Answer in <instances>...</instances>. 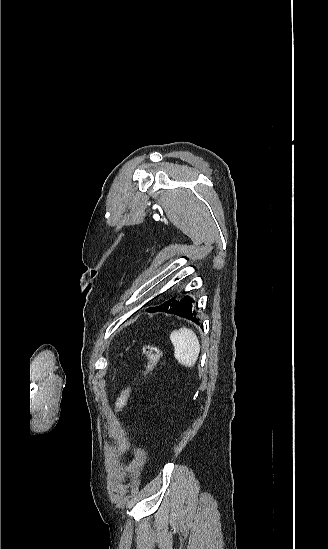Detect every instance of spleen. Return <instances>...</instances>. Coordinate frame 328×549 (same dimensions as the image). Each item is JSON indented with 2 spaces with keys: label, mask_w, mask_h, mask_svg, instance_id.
Segmentation results:
<instances>
[{
  "label": "spleen",
  "mask_w": 328,
  "mask_h": 549,
  "mask_svg": "<svg viewBox=\"0 0 328 549\" xmlns=\"http://www.w3.org/2000/svg\"><path fill=\"white\" fill-rule=\"evenodd\" d=\"M170 341L174 347V357L184 367H194L200 353V343L191 329L182 327L172 331Z\"/></svg>",
  "instance_id": "1"
}]
</instances>
